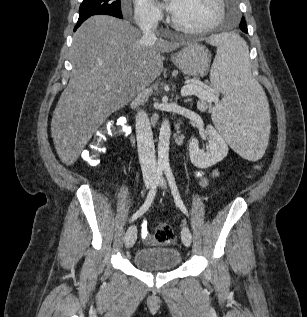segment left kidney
<instances>
[{"label": "left kidney", "instance_id": "obj_1", "mask_svg": "<svg viewBox=\"0 0 307 317\" xmlns=\"http://www.w3.org/2000/svg\"><path fill=\"white\" fill-rule=\"evenodd\" d=\"M206 134L209 138V148L207 151L199 149L197 139H192L189 144L190 160L198 168L211 167L223 160L228 153V146L225 140L211 125L207 126Z\"/></svg>", "mask_w": 307, "mask_h": 317}]
</instances>
